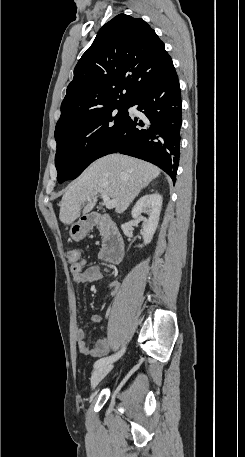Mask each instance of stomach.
<instances>
[{
  "label": "stomach",
  "instance_id": "0dacf381",
  "mask_svg": "<svg viewBox=\"0 0 245 457\" xmlns=\"http://www.w3.org/2000/svg\"><path fill=\"white\" fill-rule=\"evenodd\" d=\"M92 224H94V222H91L89 218H86V220H78V222L72 224L69 231L71 239H73V241H81V239H84L87 233L91 231Z\"/></svg>",
  "mask_w": 245,
  "mask_h": 457
}]
</instances>
